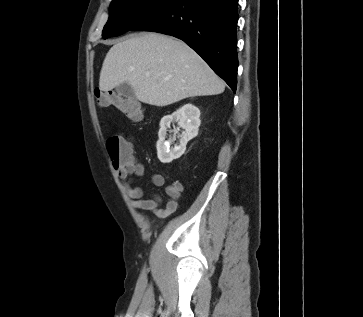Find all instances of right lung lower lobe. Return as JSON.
Listing matches in <instances>:
<instances>
[{
    "mask_svg": "<svg viewBox=\"0 0 363 317\" xmlns=\"http://www.w3.org/2000/svg\"><path fill=\"white\" fill-rule=\"evenodd\" d=\"M238 0H177L135 26L183 40L235 92L237 86Z\"/></svg>",
    "mask_w": 363,
    "mask_h": 317,
    "instance_id": "right-lung-lower-lobe-1",
    "label": "right lung lower lobe"
}]
</instances>
